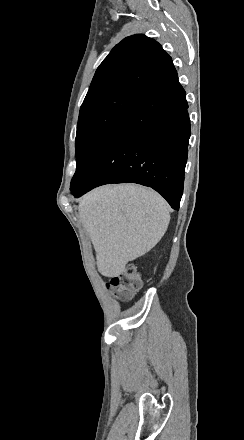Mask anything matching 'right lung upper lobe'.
I'll use <instances>...</instances> for the list:
<instances>
[{
	"mask_svg": "<svg viewBox=\"0 0 244 440\" xmlns=\"http://www.w3.org/2000/svg\"><path fill=\"white\" fill-rule=\"evenodd\" d=\"M174 74L172 59L158 42L132 35L117 44L98 67L83 104L121 94L141 98Z\"/></svg>",
	"mask_w": 244,
	"mask_h": 440,
	"instance_id": "right-lung-upper-lobe-1",
	"label": "right lung upper lobe"
}]
</instances>
